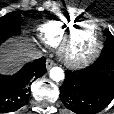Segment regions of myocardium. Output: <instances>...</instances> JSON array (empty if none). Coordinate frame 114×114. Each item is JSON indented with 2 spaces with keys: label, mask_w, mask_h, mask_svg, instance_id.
Masks as SVG:
<instances>
[{
  "label": "myocardium",
  "mask_w": 114,
  "mask_h": 114,
  "mask_svg": "<svg viewBox=\"0 0 114 114\" xmlns=\"http://www.w3.org/2000/svg\"><path fill=\"white\" fill-rule=\"evenodd\" d=\"M85 24H91L96 33L97 41L93 49L84 55H74L71 52V47L77 31ZM103 46V38L100 27L93 20H83L74 24L66 33L61 43L59 44V56L70 67H82L97 58Z\"/></svg>",
  "instance_id": "f54148a6"
}]
</instances>
